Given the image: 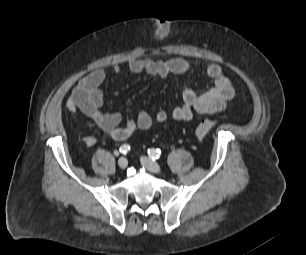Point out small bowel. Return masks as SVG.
Listing matches in <instances>:
<instances>
[{
    "label": "small bowel",
    "mask_w": 306,
    "mask_h": 255,
    "mask_svg": "<svg viewBox=\"0 0 306 255\" xmlns=\"http://www.w3.org/2000/svg\"><path fill=\"white\" fill-rule=\"evenodd\" d=\"M189 63L182 58L154 60L150 58L132 59L128 62L131 73H146L161 79L169 75H182L188 72ZM115 72H120V65L114 66ZM206 75L212 79L213 85L204 92L198 93L191 85L182 92V104L173 108L171 116L177 121H190L194 113L213 114L224 110L235 95L231 80L224 75L219 64H211L206 69ZM106 72L98 68L82 77L75 86L66 106L69 113L76 117L81 113L87 119L89 127L94 133L84 138L87 146H93L100 133H105L113 140L128 139L137 130H148L153 124L164 123L168 113L164 110L151 115L146 110L139 111L128 118L123 126L121 113L105 112L103 110V93L100 89L105 80Z\"/></svg>",
    "instance_id": "1"
}]
</instances>
